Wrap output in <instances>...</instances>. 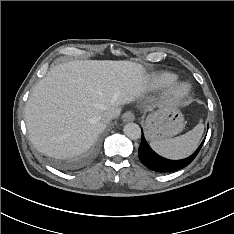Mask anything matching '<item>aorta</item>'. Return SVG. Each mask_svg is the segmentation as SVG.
Listing matches in <instances>:
<instances>
[{
	"label": "aorta",
	"instance_id": "1",
	"mask_svg": "<svg viewBox=\"0 0 234 234\" xmlns=\"http://www.w3.org/2000/svg\"><path fill=\"white\" fill-rule=\"evenodd\" d=\"M123 131L131 140H137L141 137V129L136 123H127Z\"/></svg>",
	"mask_w": 234,
	"mask_h": 234
}]
</instances>
